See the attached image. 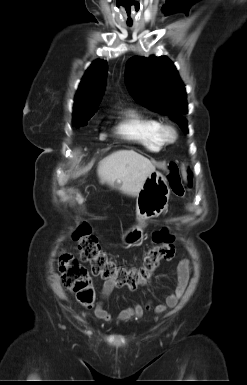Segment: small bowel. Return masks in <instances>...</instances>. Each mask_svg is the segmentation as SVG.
<instances>
[{
    "label": "small bowel",
    "instance_id": "1",
    "mask_svg": "<svg viewBox=\"0 0 247 385\" xmlns=\"http://www.w3.org/2000/svg\"><path fill=\"white\" fill-rule=\"evenodd\" d=\"M190 272V261L187 259L181 260L177 265L176 287L173 291L169 292L166 295L165 300L162 303H159L155 306V313L161 314L166 311L174 310L177 307L179 300L183 296L188 285ZM114 287L115 286L111 282H104L100 292V298L93 309L94 316L96 319L106 322L112 320L111 314L105 309L104 305L107 299L110 297L111 293L113 292ZM148 307L149 305L143 307L140 304L129 306L119 312L118 318L121 321H127L130 319H140L144 314L145 308Z\"/></svg>",
    "mask_w": 247,
    "mask_h": 385
}]
</instances>
